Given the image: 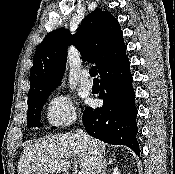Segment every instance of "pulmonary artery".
<instances>
[{"label":"pulmonary artery","mask_w":175,"mask_h":174,"mask_svg":"<svg viewBox=\"0 0 175 174\" xmlns=\"http://www.w3.org/2000/svg\"><path fill=\"white\" fill-rule=\"evenodd\" d=\"M81 86L86 89V90H91L92 89V82L89 80V74L87 71L82 72L81 75Z\"/></svg>","instance_id":"1"}]
</instances>
